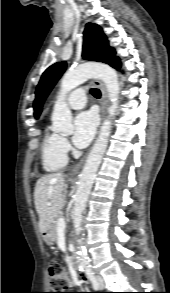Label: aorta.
Returning <instances> with one entry per match:
<instances>
[{"mask_svg": "<svg viewBox=\"0 0 170 293\" xmlns=\"http://www.w3.org/2000/svg\"><path fill=\"white\" fill-rule=\"evenodd\" d=\"M90 77L99 78L104 82L108 92L110 106L108 107V117L104 120L99 136L79 175L78 188L75 194L73 224L78 244V262L82 268H88L90 265V260L83 247V239L80 236L82 231V216L86 208L96 172L108 145L112 118L115 116L118 108L120 84L116 71L109 65L103 63L84 64L67 71L62 78L60 94L52 113V130L57 133L72 134L74 130L72 125V113L64 99L68 92L84 83Z\"/></svg>", "mask_w": 170, "mask_h": 293, "instance_id": "aorta-1", "label": "aorta"}]
</instances>
